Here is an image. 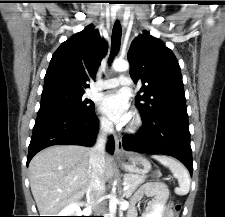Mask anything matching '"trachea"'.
<instances>
[{
  "label": "trachea",
  "instance_id": "3493384b",
  "mask_svg": "<svg viewBox=\"0 0 225 217\" xmlns=\"http://www.w3.org/2000/svg\"><path fill=\"white\" fill-rule=\"evenodd\" d=\"M121 25L119 21H116L113 30H112V48H111V57L110 60L113 59L114 55L119 51L121 45Z\"/></svg>",
  "mask_w": 225,
  "mask_h": 217
}]
</instances>
